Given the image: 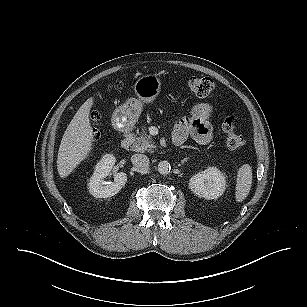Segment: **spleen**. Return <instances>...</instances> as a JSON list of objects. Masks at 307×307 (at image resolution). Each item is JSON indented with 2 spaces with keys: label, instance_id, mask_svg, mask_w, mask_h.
<instances>
[{
  "label": "spleen",
  "instance_id": "3e777b00",
  "mask_svg": "<svg viewBox=\"0 0 307 307\" xmlns=\"http://www.w3.org/2000/svg\"><path fill=\"white\" fill-rule=\"evenodd\" d=\"M252 185V168L249 164L242 165L237 172L235 197L242 202L249 194Z\"/></svg>",
  "mask_w": 307,
  "mask_h": 307
}]
</instances>
